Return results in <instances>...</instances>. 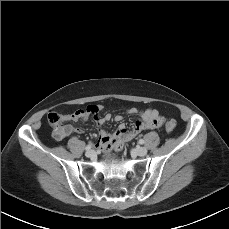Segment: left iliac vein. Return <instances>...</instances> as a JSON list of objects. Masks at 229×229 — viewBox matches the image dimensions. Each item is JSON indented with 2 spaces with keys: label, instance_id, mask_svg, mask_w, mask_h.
Returning <instances> with one entry per match:
<instances>
[{
  "label": "left iliac vein",
  "instance_id": "4c4485c4",
  "mask_svg": "<svg viewBox=\"0 0 229 229\" xmlns=\"http://www.w3.org/2000/svg\"><path fill=\"white\" fill-rule=\"evenodd\" d=\"M147 148L145 147H137L135 149V153L138 155V156H145L147 154Z\"/></svg>",
  "mask_w": 229,
  "mask_h": 229
}]
</instances>
